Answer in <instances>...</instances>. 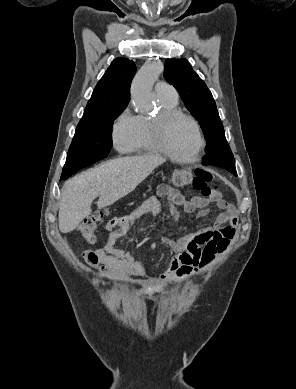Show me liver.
Here are the masks:
<instances>
[{"label": "liver", "instance_id": "liver-1", "mask_svg": "<svg viewBox=\"0 0 296 389\" xmlns=\"http://www.w3.org/2000/svg\"><path fill=\"white\" fill-rule=\"evenodd\" d=\"M165 158L147 154L110 160L67 181L59 204V229L69 233L89 217L93 200L105 208L132 192Z\"/></svg>", "mask_w": 296, "mask_h": 389}]
</instances>
